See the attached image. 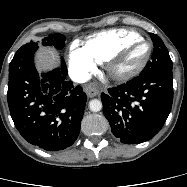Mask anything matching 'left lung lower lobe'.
<instances>
[{
	"label": "left lung lower lobe",
	"instance_id": "0a47b994",
	"mask_svg": "<svg viewBox=\"0 0 187 187\" xmlns=\"http://www.w3.org/2000/svg\"><path fill=\"white\" fill-rule=\"evenodd\" d=\"M172 70L139 75L101 94L112 133L125 144L154 137L163 127L173 101Z\"/></svg>",
	"mask_w": 187,
	"mask_h": 187
}]
</instances>
